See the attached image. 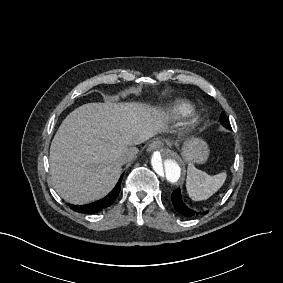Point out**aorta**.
<instances>
[{
	"label": "aorta",
	"mask_w": 283,
	"mask_h": 283,
	"mask_svg": "<svg viewBox=\"0 0 283 283\" xmlns=\"http://www.w3.org/2000/svg\"><path fill=\"white\" fill-rule=\"evenodd\" d=\"M152 172L163 185H176L182 179L184 164L179 155L170 149H160L151 156Z\"/></svg>",
	"instance_id": "aorta-1"
}]
</instances>
